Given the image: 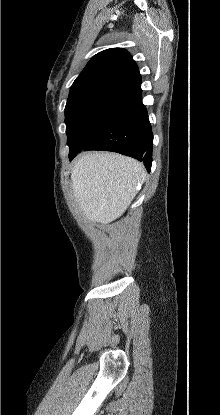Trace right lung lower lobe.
Instances as JSON below:
<instances>
[{
    "label": "right lung lower lobe",
    "instance_id": "obj_1",
    "mask_svg": "<svg viewBox=\"0 0 220 415\" xmlns=\"http://www.w3.org/2000/svg\"><path fill=\"white\" fill-rule=\"evenodd\" d=\"M153 134L142 90L107 119L99 132L83 147L70 149L72 160L82 149L118 152L142 161L148 172L152 164Z\"/></svg>",
    "mask_w": 220,
    "mask_h": 415
}]
</instances>
